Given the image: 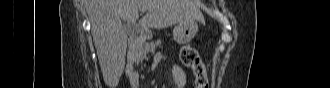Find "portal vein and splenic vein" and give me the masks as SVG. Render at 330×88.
<instances>
[{"label":"portal vein and splenic vein","mask_w":330,"mask_h":88,"mask_svg":"<svg viewBox=\"0 0 330 88\" xmlns=\"http://www.w3.org/2000/svg\"><path fill=\"white\" fill-rule=\"evenodd\" d=\"M142 12H145L146 11V9H144V8H142V9H140Z\"/></svg>","instance_id":"portal-vein-and-splenic-vein-1"}]
</instances>
